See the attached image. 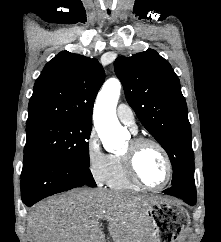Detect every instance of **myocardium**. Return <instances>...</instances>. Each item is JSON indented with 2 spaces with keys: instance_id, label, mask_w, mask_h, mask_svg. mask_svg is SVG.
Segmentation results:
<instances>
[{
  "instance_id": "obj_1",
  "label": "myocardium",
  "mask_w": 221,
  "mask_h": 242,
  "mask_svg": "<svg viewBox=\"0 0 221 242\" xmlns=\"http://www.w3.org/2000/svg\"><path fill=\"white\" fill-rule=\"evenodd\" d=\"M146 145H153L155 146L163 155L165 162H166V178L163 183L160 185L156 186H151L146 184L142 178L140 177L137 166H136V159L137 155L144 146ZM125 167L127 170V173L129 177L132 179L134 183H136L139 187L146 189V190H152V191H157L165 188L171 181L172 175H173V165L171 158L165 149V147L158 142L157 140L153 138H148V137H136L131 141L130 147L125 150L122 154Z\"/></svg>"
}]
</instances>
